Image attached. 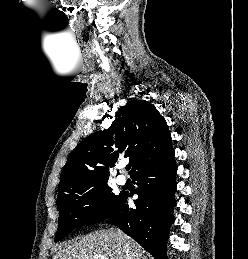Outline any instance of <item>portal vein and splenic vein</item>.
Returning a JSON list of instances; mask_svg holds the SVG:
<instances>
[{
    "instance_id": "portal-vein-and-splenic-vein-1",
    "label": "portal vein and splenic vein",
    "mask_w": 248,
    "mask_h": 259,
    "mask_svg": "<svg viewBox=\"0 0 248 259\" xmlns=\"http://www.w3.org/2000/svg\"><path fill=\"white\" fill-rule=\"evenodd\" d=\"M94 259H108V257L104 255L95 256Z\"/></svg>"
}]
</instances>
